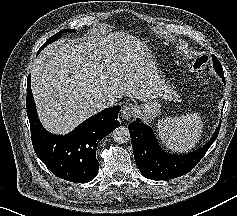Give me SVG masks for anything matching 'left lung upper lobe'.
Listing matches in <instances>:
<instances>
[{
  "label": "left lung upper lobe",
  "instance_id": "1",
  "mask_svg": "<svg viewBox=\"0 0 237 216\" xmlns=\"http://www.w3.org/2000/svg\"><path fill=\"white\" fill-rule=\"evenodd\" d=\"M212 59H213V65H214V68L216 69V72L220 75L221 78H224L223 69L220 62L214 55Z\"/></svg>",
  "mask_w": 237,
  "mask_h": 216
}]
</instances>
